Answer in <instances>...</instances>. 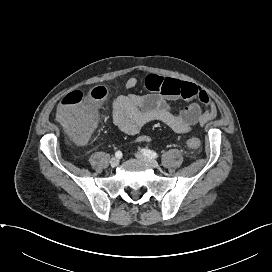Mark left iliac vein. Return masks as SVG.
<instances>
[{"label":"left iliac vein","instance_id":"left-iliac-vein-1","mask_svg":"<svg viewBox=\"0 0 272 272\" xmlns=\"http://www.w3.org/2000/svg\"><path fill=\"white\" fill-rule=\"evenodd\" d=\"M136 157L146 163H148L150 166L154 167V168H158L159 167V164L156 160L152 159V158H149L143 154H140V153H137L136 154Z\"/></svg>","mask_w":272,"mask_h":272}]
</instances>
